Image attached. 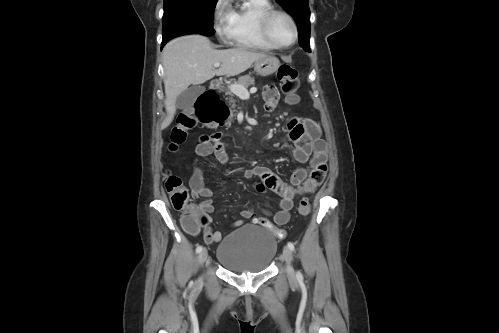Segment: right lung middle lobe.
I'll return each instance as SVG.
<instances>
[{"label": "right lung middle lobe", "mask_w": 499, "mask_h": 333, "mask_svg": "<svg viewBox=\"0 0 499 333\" xmlns=\"http://www.w3.org/2000/svg\"><path fill=\"white\" fill-rule=\"evenodd\" d=\"M217 1L164 0L163 40L194 33L213 35V10Z\"/></svg>", "instance_id": "1"}]
</instances>
